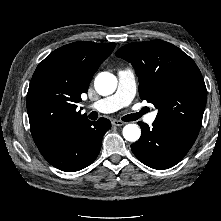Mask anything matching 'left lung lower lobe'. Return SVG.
Instances as JSON below:
<instances>
[{"label":"left lung lower lobe","mask_w":221,"mask_h":221,"mask_svg":"<svg viewBox=\"0 0 221 221\" xmlns=\"http://www.w3.org/2000/svg\"><path fill=\"white\" fill-rule=\"evenodd\" d=\"M142 130L140 139L131 145L132 152L145 165L168 169L180 162L195 142L199 130L164 120L147 124L138 123Z\"/></svg>","instance_id":"obj_1"}]
</instances>
